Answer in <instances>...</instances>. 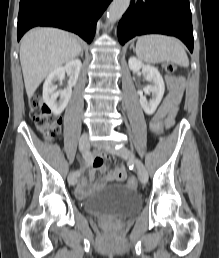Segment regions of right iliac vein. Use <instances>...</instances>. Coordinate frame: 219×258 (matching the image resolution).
Masks as SVG:
<instances>
[{
  "instance_id": "1",
  "label": "right iliac vein",
  "mask_w": 219,
  "mask_h": 258,
  "mask_svg": "<svg viewBox=\"0 0 219 258\" xmlns=\"http://www.w3.org/2000/svg\"><path fill=\"white\" fill-rule=\"evenodd\" d=\"M79 149L82 152H87L89 150V137L87 133H84L79 139ZM68 182L71 185H75L77 183V176L74 173H70L68 176Z\"/></svg>"
}]
</instances>
